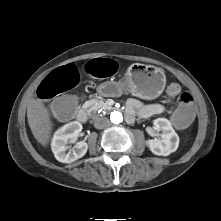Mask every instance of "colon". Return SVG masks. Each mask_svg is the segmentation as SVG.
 I'll return each instance as SVG.
<instances>
[{"mask_svg":"<svg viewBox=\"0 0 221 221\" xmlns=\"http://www.w3.org/2000/svg\"><path fill=\"white\" fill-rule=\"evenodd\" d=\"M116 63L111 59H99L88 64L87 70L96 77H107L114 73ZM78 70L73 66H64L51 72L38 87V97L43 100L55 98L77 86ZM170 96H179V105L172 116L179 128L187 127L195 118L193 100L190 94L181 93L178 83H171L167 88ZM79 108V101L73 95L57 97L51 109V116L57 122L66 121L70 114Z\"/></svg>","mask_w":221,"mask_h":221,"instance_id":"colon-1","label":"colon"}]
</instances>
